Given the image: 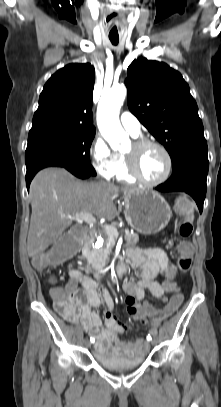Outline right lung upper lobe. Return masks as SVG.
<instances>
[{"label":"right lung upper lobe","mask_w":221,"mask_h":407,"mask_svg":"<svg viewBox=\"0 0 221 407\" xmlns=\"http://www.w3.org/2000/svg\"><path fill=\"white\" fill-rule=\"evenodd\" d=\"M95 69L91 64H69L45 84L34 114L32 128L67 127L95 131L93 88Z\"/></svg>","instance_id":"1"}]
</instances>
